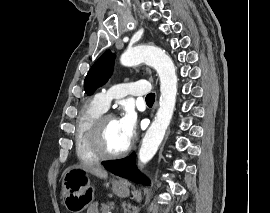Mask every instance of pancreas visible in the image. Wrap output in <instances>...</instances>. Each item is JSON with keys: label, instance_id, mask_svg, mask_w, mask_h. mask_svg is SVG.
<instances>
[{"label": "pancreas", "instance_id": "obj_1", "mask_svg": "<svg viewBox=\"0 0 270 213\" xmlns=\"http://www.w3.org/2000/svg\"><path fill=\"white\" fill-rule=\"evenodd\" d=\"M112 205L111 204H103L101 209H100V213H109V211L112 209Z\"/></svg>", "mask_w": 270, "mask_h": 213}]
</instances>
